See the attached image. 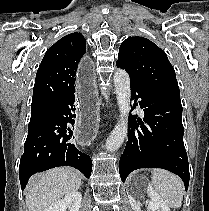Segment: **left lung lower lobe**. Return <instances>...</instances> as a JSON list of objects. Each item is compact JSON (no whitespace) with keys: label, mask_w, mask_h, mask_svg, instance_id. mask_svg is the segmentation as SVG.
<instances>
[{"label":"left lung lower lobe","mask_w":209,"mask_h":211,"mask_svg":"<svg viewBox=\"0 0 209 211\" xmlns=\"http://www.w3.org/2000/svg\"><path fill=\"white\" fill-rule=\"evenodd\" d=\"M130 84L132 99L143 108L145 116L144 122L136 115L130 117L128 142L119 166L122 182L136 169L162 168L177 174L187 190L189 165L180 98L152 92L131 79Z\"/></svg>","instance_id":"obj_1"}]
</instances>
